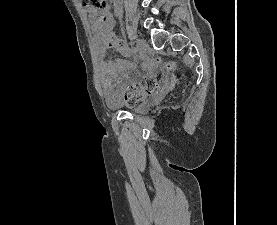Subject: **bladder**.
<instances>
[{
    "instance_id": "1",
    "label": "bladder",
    "mask_w": 277,
    "mask_h": 225,
    "mask_svg": "<svg viewBox=\"0 0 277 225\" xmlns=\"http://www.w3.org/2000/svg\"><path fill=\"white\" fill-rule=\"evenodd\" d=\"M151 106V103L148 99H144L140 102H136L134 104H127V103H118L113 106V109L117 110H128V111H134V112H146L149 110Z\"/></svg>"
}]
</instances>
